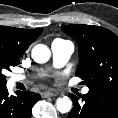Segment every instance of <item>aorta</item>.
Here are the masks:
<instances>
[{"label": "aorta", "mask_w": 118, "mask_h": 118, "mask_svg": "<svg viewBox=\"0 0 118 118\" xmlns=\"http://www.w3.org/2000/svg\"><path fill=\"white\" fill-rule=\"evenodd\" d=\"M32 59L36 63H46L51 56L50 49L44 44H37L31 51ZM56 108L60 113H68L72 109V101L69 97L58 98L56 100Z\"/></svg>", "instance_id": "aorta-1"}]
</instances>
